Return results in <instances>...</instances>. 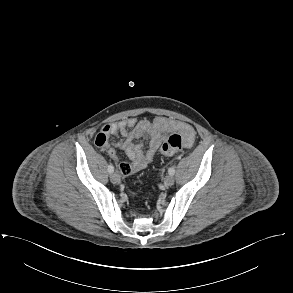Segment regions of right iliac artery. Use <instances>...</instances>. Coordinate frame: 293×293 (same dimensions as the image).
Returning a JSON list of instances; mask_svg holds the SVG:
<instances>
[{
  "mask_svg": "<svg viewBox=\"0 0 293 293\" xmlns=\"http://www.w3.org/2000/svg\"><path fill=\"white\" fill-rule=\"evenodd\" d=\"M108 172H109L110 174L114 172V167H113L112 164H109V165H108Z\"/></svg>",
  "mask_w": 293,
  "mask_h": 293,
  "instance_id": "obj_1",
  "label": "right iliac artery"
}]
</instances>
